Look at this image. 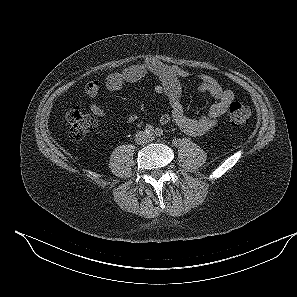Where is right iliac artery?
Returning <instances> with one entry per match:
<instances>
[{
    "label": "right iliac artery",
    "instance_id": "1",
    "mask_svg": "<svg viewBox=\"0 0 297 297\" xmlns=\"http://www.w3.org/2000/svg\"><path fill=\"white\" fill-rule=\"evenodd\" d=\"M145 132H146L147 134L152 135L153 132H154V127L151 126V125H146V127H145Z\"/></svg>",
    "mask_w": 297,
    "mask_h": 297
}]
</instances>
